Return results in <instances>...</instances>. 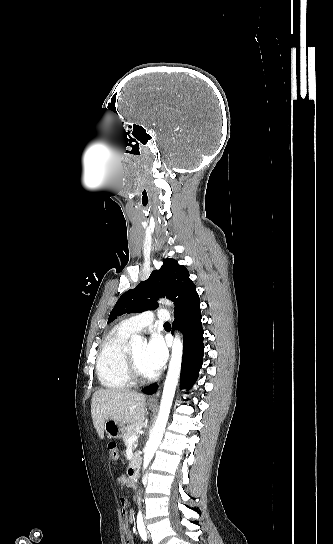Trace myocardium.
<instances>
[{"label":"myocardium","mask_w":333,"mask_h":544,"mask_svg":"<svg viewBox=\"0 0 333 544\" xmlns=\"http://www.w3.org/2000/svg\"><path fill=\"white\" fill-rule=\"evenodd\" d=\"M126 365L128 374L133 382L144 383L153 378L152 374L145 375L139 370L130 348H127L126 352Z\"/></svg>","instance_id":"myocardium-1"}]
</instances>
